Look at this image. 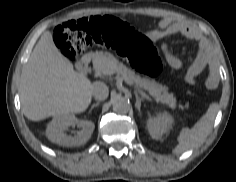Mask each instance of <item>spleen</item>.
<instances>
[{"mask_svg": "<svg viewBox=\"0 0 236 182\" xmlns=\"http://www.w3.org/2000/svg\"><path fill=\"white\" fill-rule=\"evenodd\" d=\"M218 111V105L212 103L207 112L191 128H183L177 138L178 145L173 149L174 154H181L200 146L209 134Z\"/></svg>", "mask_w": 236, "mask_h": 182, "instance_id": "1", "label": "spleen"}]
</instances>
